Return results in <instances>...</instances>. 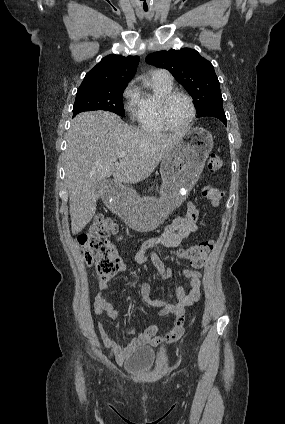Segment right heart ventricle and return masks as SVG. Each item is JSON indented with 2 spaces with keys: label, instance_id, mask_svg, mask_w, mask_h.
Listing matches in <instances>:
<instances>
[{
  "label": "right heart ventricle",
  "instance_id": "obj_1",
  "mask_svg": "<svg viewBox=\"0 0 285 424\" xmlns=\"http://www.w3.org/2000/svg\"><path fill=\"white\" fill-rule=\"evenodd\" d=\"M172 90V82L161 80L155 75L143 88H138V102L132 116L141 129L151 133L168 130L160 121L158 107L162 96Z\"/></svg>",
  "mask_w": 285,
  "mask_h": 424
}]
</instances>
